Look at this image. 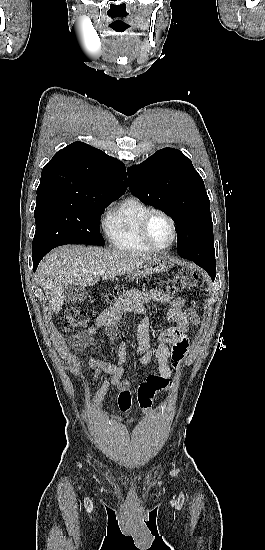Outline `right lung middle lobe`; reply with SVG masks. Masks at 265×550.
<instances>
[{"mask_svg":"<svg viewBox=\"0 0 265 550\" xmlns=\"http://www.w3.org/2000/svg\"><path fill=\"white\" fill-rule=\"evenodd\" d=\"M116 199L36 198L32 254L48 253L64 244L104 245L99 228L100 215Z\"/></svg>","mask_w":265,"mask_h":550,"instance_id":"right-lung-middle-lobe-1","label":"right lung middle lobe"}]
</instances>
